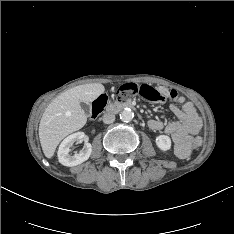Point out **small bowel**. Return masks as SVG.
Here are the masks:
<instances>
[{
    "instance_id": "obj_1",
    "label": "small bowel",
    "mask_w": 234,
    "mask_h": 234,
    "mask_svg": "<svg viewBox=\"0 0 234 234\" xmlns=\"http://www.w3.org/2000/svg\"><path fill=\"white\" fill-rule=\"evenodd\" d=\"M158 92L160 98L155 102L162 104L167 100L174 102L170 105V109L175 115V120L164 123L160 120L151 119L148 121V126L153 130H163L171 136L175 154L180 158H185L200 132V117L193 103L178 95L176 90L161 89Z\"/></svg>"
}]
</instances>
